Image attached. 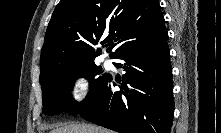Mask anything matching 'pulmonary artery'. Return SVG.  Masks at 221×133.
Here are the masks:
<instances>
[{"mask_svg": "<svg viewBox=\"0 0 221 133\" xmlns=\"http://www.w3.org/2000/svg\"><path fill=\"white\" fill-rule=\"evenodd\" d=\"M105 66H106L107 68H112V67H113L112 60L106 59V60H105Z\"/></svg>", "mask_w": 221, "mask_h": 133, "instance_id": "obj_1", "label": "pulmonary artery"}]
</instances>
